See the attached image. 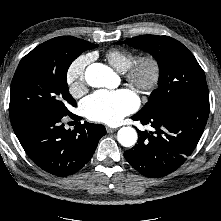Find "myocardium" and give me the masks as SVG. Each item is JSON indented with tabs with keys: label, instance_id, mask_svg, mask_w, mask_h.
<instances>
[{
	"label": "myocardium",
	"instance_id": "obj_1",
	"mask_svg": "<svg viewBox=\"0 0 221 221\" xmlns=\"http://www.w3.org/2000/svg\"><path fill=\"white\" fill-rule=\"evenodd\" d=\"M161 67L151 54L137 57L124 72L126 81L139 93L149 94L158 86Z\"/></svg>",
	"mask_w": 221,
	"mask_h": 221
}]
</instances>
